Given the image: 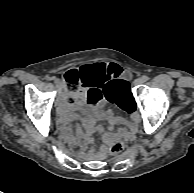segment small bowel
Returning a JSON list of instances; mask_svg holds the SVG:
<instances>
[{"instance_id": "obj_1", "label": "small bowel", "mask_w": 194, "mask_h": 193, "mask_svg": "<svg viewBox=\"0 0 194 193\" xmlns=\"http://www.w3.org/2000/svg\"><path fill=\"white\" fill-rule=\"evenodd\" d=\"M120 67L115 64L102 63L94 65L81 72V90L72 96L70 103L61 106V119L59 121L63 134L70 140L76 142L70 136L69 125L76 118V112L84 115L83 130L90 132L95 128V119L103 117L108 120V136L112 135L113 127L122 123L123 119L114 115L111 110L102 111L100 88L112 82V79L120 76ZM78 130L79 135L83 133Z\"/></svg>"}]
</instances>
